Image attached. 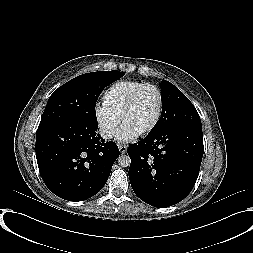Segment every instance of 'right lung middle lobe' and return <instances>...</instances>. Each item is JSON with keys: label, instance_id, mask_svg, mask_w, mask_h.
I'll return each instance as SVG.
<instances>
[{"label": "right lung middle lobe", "instance_id": "1", "mask_svg": "<svg viewBox=\"0 0 253 253\" xmlns=\"http://www.w3.org/2000/svg\"><path fill=\"white\" fill-rule=\"evenodd\" d=\"M123 75L120 71H99L68 81L50 96L37 131L74 121L98 126L97 99L104 87Z\"/></svg>", "mask_w": 253, "mask_h": 253}]
</instances>
